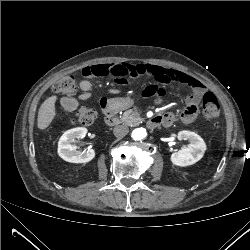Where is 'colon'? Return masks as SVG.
<instances>
[{
  "mask_svg": "<svg viewBox=\"0 0 250 250\" xmlns=\"http://www.w3.org/2000/svg\"><path fill=\"white\" fill-rule=\"evenodd\" d=\"M147 74V69L144 66L130 65H113V66H97L90 68L85 72L84 78H89L93 82L110 81L119 83H129L139 76ZM75 79L73 77L66 78L58 87L57 93L54 95L49 104L48 110L52 115L67 116L65 107L58 100V93L76 96L78 88L85 85V79ZM157 84L160 82V77L154 76ZM157 88V86H155ZM204 114L208 120V134L211 138L216 139L222 133V121L219 114V105L216 98L212 94H205L203 97ZM82 119L84 122L92 121L93 117L86 108H82Z\"/></svg>",
  "mask_w": 250,
  "mask_h": 250,
  "instance_id": "1",
  "label": "colon"
}]
</instances>
